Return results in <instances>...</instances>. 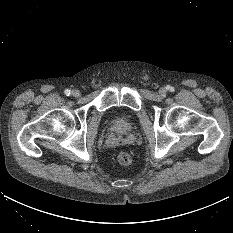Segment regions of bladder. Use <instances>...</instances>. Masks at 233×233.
<instances>
[{"label": "bladder", "mask_w": 233, "mask_h": 233, "mask_svg": "<svg viewBox=\"0 0 233 233\" xmlns=\"http://www.w3.org/2000/svg\"><path fill=\"white\" fill-rule=\"evenodd\" d=\"M114 123L119 129H125L127 127V122L122 118H117Z\"/></svg>", "instance_id": "bladder-1"}]
</instances>
